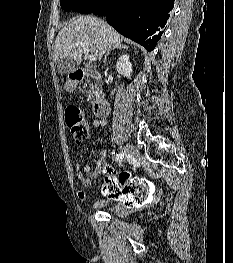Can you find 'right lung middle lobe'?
<instances>
[{"label":"right lung middle lobe","mask_w":233,"mask_h":263,"mask_svg":"<svg viewBox=\"0 0 233 263\" xmlns=\"http://www.w3.org/2000/svg\"><path fill=\"white\" fill-rule=\"evenodd\" d=\"M103 0H60V5L64 11H76L80 13H90Z\"/></svg>","instance_id":"1"}]
</instances>
